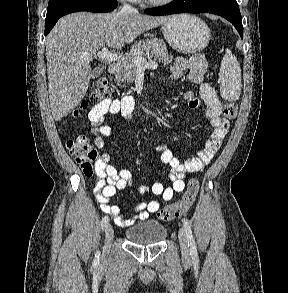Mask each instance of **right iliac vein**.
Instances as JSON below:
<instances>
[{
	"label": "right iliac vein",
	"mask_w": 288,
	"mask_h": 293,
	"mask_svg": "<svg viewBox=\"0 0 288 293\" xmlns=\"http://www.w3.org/2000/svg\"><path fill=\"white\" fill-rule=\"evenodd\" d=\"M114 230L111 224H107L105 228V244L103 247V255L106 256L110 250V246L113 240Z\"/></svg>",
	"instance_id": "right-iliac-vein-1"
}]
</instances>
